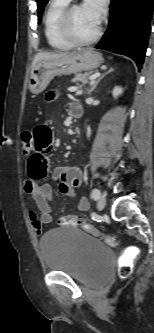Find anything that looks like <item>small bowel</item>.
<instances>
[{
    "instance_id": "c3829d8e",
    "label": "small bowel",
    "mask_w": 154,
    "mask_h": 333,
    "mask_svg": "<svg viewBox=\"0 0 154 333\" xmlns=\"http://www.w3.org/2000/svg\"><path fill=\"white\" fill-rule=\"evenodd\" d=\"M49 97H52L50 95ZM81 107L78 104L70 103L67 106L68 112L72 115L75 108ZM33 147L27 161L28 179L24 183V190L29 194L39 212V219L35 214H31V221L36 233L40 234L42 224H50L53 220V194L51 186L41 183L49 173L50 163L48 154L53 148L54 136L51 128L46 124H37L32 129ZM52 177L58 179L61 193L75 197V190L81 184V171L75 166H59L52 172ZM89 202L85 197H81L77 202L79 211H86Z\"/></svg>"
}]
</instances>
